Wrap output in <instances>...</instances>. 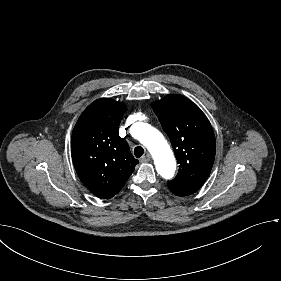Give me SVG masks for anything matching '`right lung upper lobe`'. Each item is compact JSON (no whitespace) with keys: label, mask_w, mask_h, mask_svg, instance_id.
Listing matches in <instances>:
<instances>
[{"label":"right lung upper lobe","mask_w":281,"mask_h":281,"mask_svg":"<svg viewBox=\"0 0 281 281\" xmlns=\"http://www.w3.org/2000/svg\"><path fill=\"white\" fill-rule=\"evenodd\" d=\"M125 110L122 102L98 99L84 110L72 132L75 170L87 189L102 199L118 193L139 162L119 136Z\"/></svg>","instance_id":"obj_1"}]
</instances>
